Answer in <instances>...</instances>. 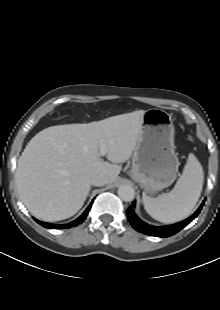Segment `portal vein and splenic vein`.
<instances>
[{
	"label": "portal vein and splenic vein",
	"mask_w": 220,
	"mask_h": 310,
	"mask_svg": "<svg viewBox=\"0 0 220 310\" xmlns=\"http://www.w3.org/2000/svg\"><path fill=\"white\" fill-rule=\"evenodd\" d=\"M107 153V147L105 144H101L100 146V156H105Z\"/></svg>",
	"instance_id": "portal-vein-and-splenic-vein-1"
}]
</instances>
